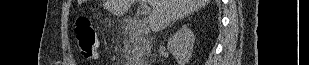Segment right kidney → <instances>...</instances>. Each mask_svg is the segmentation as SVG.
Returning <instances> with one entry per match:
<instances>
[{
    "label": "right kidney",
    "mask_w": 309,
    "mask_h": 65,
    "mask_svg": "<svg viewBox=\"0 0 309 65\" xmlns=\"http://www.w3.org/2000/svg\"><path fill=\"white\" fill-rule=\"evenodd\" d=\"M195 36L187 27L182 26L168 40V50L175 57L178 65H186L192 57Z\"/></svg>",
    "instance_id": "ca27d5eb"
}]
</instances>
